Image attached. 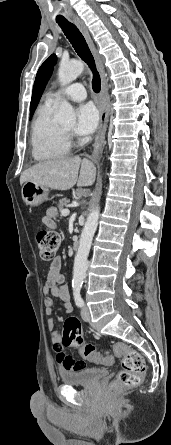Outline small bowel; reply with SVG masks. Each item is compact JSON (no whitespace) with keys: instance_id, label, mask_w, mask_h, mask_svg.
I'll list each match as a JSON object with an SVG mask.
<instances>
[{"instance_id":"1","label":"small bowel","mask_w":171,"mask_h":445,"mask_svg":"<svg viewBox=\"0 0 171 445\" xmlns=\"http://www.w3.org/2000/svg\"><path fill=\"white\" fill-rule=\"evenodd\" d=\"M45 224L50 228L56 227L51 212H47ZM61 267V259L55 258L50 264L47 279L43 285V291L45 294L44 312L48 316L53 312L54 302L52 297H56L62 302L65 313H71L73 311V306L70 301L69 287L64 283V276L61 273ZM47 328L51 332L53 350L55 352L56 362L60 369L62 371H75L83 369V362L76 361L72 356L63 351L60 333L56 327L55 321L52 318L48 319Z\"/></svg>"}]
</instances>
